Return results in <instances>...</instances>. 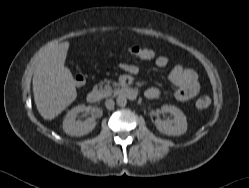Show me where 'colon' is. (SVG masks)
Segmentation results:
<instances>
[{
  "instance_id": "colon-1",
  "label": "colon",
  "mask_w": 249,
  "mask_h": 188,
  "mask_svg": "<svg viewBox=\"0 0 249 188\" xmlns=\"http://www.w3.org/2000/svg\"><path fill=\"white\" fill-rule=\"evenodd\" d=\"M129 52L136 58L139 59H150L154 56V51L150 48H141L138 46L132 47ZM76 85L82 86L83 79L81 77L76 78ZM210 98L207 96H201L196 101V107L199 110H205L210 106Z\"/></svg>"
}]
</instances>
